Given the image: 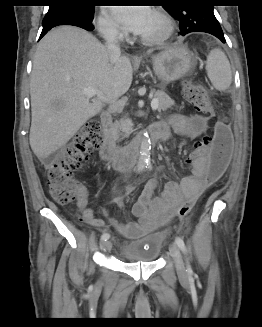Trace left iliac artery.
Here are the masks:
<instances>
[{
  "mask_svg": "<svg viewBox=\"0 0 262 327\" xmlns=\"http://www.w3.org/2000/svg\"><path fill=\"white\" fill-rule=\"evenodd\" d=\"M175 242L178 245V247L180 248V250L185 253L186 252V246H185V243H184L183 239L181 237H176ZM187 272H188L189 275H191L193 273L189 262H187Z\"/></svg>",
  "mask_w": 262,
  "mask_h": 327,
  "instance_id": "left-iliac-artery-1",
  "label": "left iliac artery"
}]
</instances>
